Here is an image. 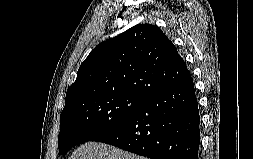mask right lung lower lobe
I'll use <instances>...</instances> for the list:
<instances>
[{
  "label": "right lung lower lobe",
  "mask_w": 253,
  "mask_h": 159,
  "mask_svg": "<svg viewBox=\"0 0 253 159\" xmlns=\"http://www.w3.org/2000/svg\"><path fill=\"white\" fill-rule=\"evenodd\" d=\"M200 116L191 76L149 96L125 121L91 141L151 159H198Z\"/></svg>",
  "instance_id": "1"
}]
</instances>
